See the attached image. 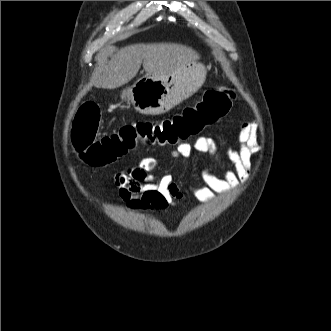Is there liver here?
Wrapping results in <instances>:
<instances>
[{"mask_svg": "<svg viewBox=\"0 0 331 331\" xmlns=\"http://www.w3.org/2000/svg\"><path fill=\"white\" fill-rule=\"evenodd\" d=\"M199 55L176 43L134 44L119 50L95 78V86L114 89L127 84L141 65L147 74L166 78L179 73Z\"/></svg>", "mask_w": 331, "mask_h": 331, "instance_id": "obj_1", "label": "liver"}]
</instances>
